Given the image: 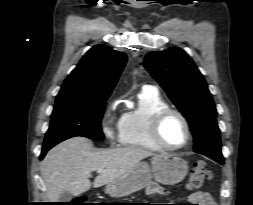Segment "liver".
Returning a JSON list of instances; mask_svg holds the SVG:
<instances>
[{
	"label": "liver",
	"instance_id": "obj_1",
	"mask_svg": "<svg viewBox=\"0 0 253 205\" xmlns=\"http://www.w3.org/2000/svg\"><path fill=\"white\" fill-rule=\"evenodd\" d=\"M153 154L139 147L93 150L91 140L73 137L53 147L41 162V176L47 197L58 202L62 192L78 196L91 188V172L102 170L94 188L107 185Z\"/></svg>",
	"mask_w": 253,
	"mask_h": 205
}]
</instances>
